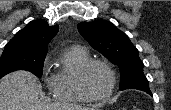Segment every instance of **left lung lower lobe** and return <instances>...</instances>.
<instances>
[{"instance_id": "obj_1", "label": "left lung lower lobe", "mask_w": 171, "mask_h": 110, "mask_svg": "<svg viewBox=\"0 0 171 110\" xmlns=\"http://www.w3.org/2000/svg\"><path fill=\"white\" fill-rule=\"evenodd\" d=\"M146 93H148V94L152 95L151 91H149V92H146Z\"/></svg>"}]
</instances>
